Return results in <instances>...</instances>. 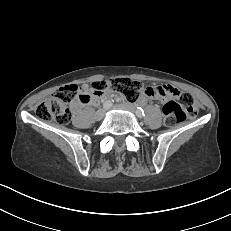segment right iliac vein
<instances>
[{"label":"right iliac vein","instance_id":"right-iliac-vein-1","mask_svg":"<svg viewBox=\"0 0 231 231\" xmlns=\"http://www.w3.org/2000/svg\"><path fill=\"white\" fill-rule=\"evenodd\" d=\"M105 112H106L105 109H99V110L96 112V114H95V119H96L97 121L101 120V119L104 117Z\"/></svg>","mask_w":231,"mask_h":231}]
</instances>
